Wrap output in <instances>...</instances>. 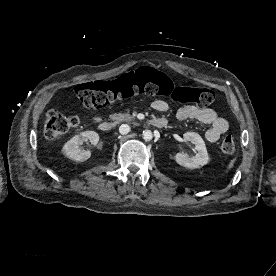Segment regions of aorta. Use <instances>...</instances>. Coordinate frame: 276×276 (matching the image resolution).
<instances>
[{
    "label": "aorta",
    "mask_w": 276,
    "mask_h": 276,
    "mask_svg": "<svg viewBox=\"0 0 276 276\" xmlns=\"http://www.w3.org/2000/svg\"><path fill=\"white\" fill-rule=\"evenodd\" d=\"M153 138V134L150 130L143 131V139L145 141H150Z\"/></svg>",
    "instance_id": "aorta-1"
}]
</instances>
